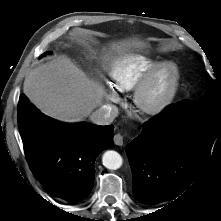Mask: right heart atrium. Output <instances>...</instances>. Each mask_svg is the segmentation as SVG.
Listing matches in <instances>:
<instances>
[{"instance_id": "1", "label": "right heart atrium", "mask_w": 221, "mask_h": 221, "mask_svg": "<svg viewBox=\"0 0 221 221\" xmlns=\"http://www.w3.org/2000/svg\"><path fill=\"white\" fill-rule=\"evenodd\" d=\"M109 100L112 101V102L117 103V102L120 101V98H119V96L117 95L116 92L110 91V93H109Z\"/></svg>"}]
</instances>
